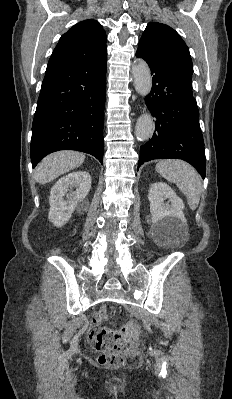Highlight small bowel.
Masks as SVG:
<instances>
[{"label":"small bowel","instance_id":"small-bowel-1","mask_svg":"<svg viewBox=\"0 0 232 399\" xmlns=\"http://www.w3.org/2000/svg\"><path fill=\"white\" fill-rule=\"evenodd\" d=\"M109 318L107 308L105 306L100 307V309L93 315L91 322H84L81 324L83 329L92 330L99 327L104 321Z\"/></svg>","mask_w":232,"mask_h":399}]
</instances>
